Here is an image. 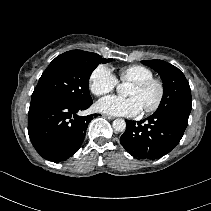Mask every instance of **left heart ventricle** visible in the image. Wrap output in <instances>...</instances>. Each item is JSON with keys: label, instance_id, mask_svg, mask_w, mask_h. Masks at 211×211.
Wrapping results in <instances>:
<instances>
[{"label": "left heart ventricle", "instance_id": "1", "mask_svg": "<svg viewBox=\"0 0 211 211\" xmlns=\"http://www.w3.org/2000/svg\"><path fill=\"white\" fill-rule=\"evenodd\" d=\"M128 95L137 98L144 109L154 104L158 97V88L155 85L139 88L132 84L129 88Z\"/></svg>", "mask_w": 211, "mask_h": 211}]
</instances>
